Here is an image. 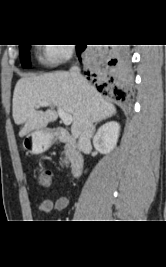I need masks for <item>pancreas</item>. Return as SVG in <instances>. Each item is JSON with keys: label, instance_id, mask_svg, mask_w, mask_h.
<instances>
[{"label": "pancreas", "instance_id": "pancreas-1", "mask_svg": "<svg viewBox=\"0 0 166 267\" xmlns=\"http://www.w3.org/2000/svg\"><path fill=\"white\" fill-rule=\"evenodd\" d=\"M64 153H65V158L63 160H61L60 164L61 166H63L64 164L67 165L69 160L71 159V154L69 152V148L67 146H65L64 148Z\"/></svg>", "mask_w": 166, "mask_h": 267}]
</instances>
